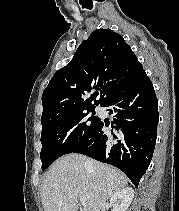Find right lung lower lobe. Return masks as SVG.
<instances>
[{"label": "right lung lower lobe", "instance_id": "right-lung-lower-lobe-1", "mask_svg": "<svg viewBox=\"0 0 179 211\" xmlns=\"http://www.w3.org/2000/svg\"><path fill=\"white\" fill-rule=\"evenodd\" d=\"M103 107L117 119L111 123L120 128V140L105 142L103 134L108 122L100 121L92 136L73 153H81L122 170L137 187L153 156L157 124L158 100L149 77L143 71L130 85L110 98ZM112 126V125H111ZM114 138H118L113 134Z\"/></svg>", "mask_w": 179, "mask_h": 211}]
</instances>
